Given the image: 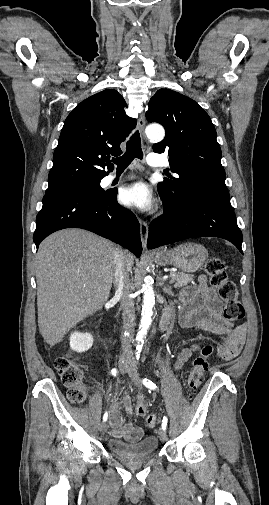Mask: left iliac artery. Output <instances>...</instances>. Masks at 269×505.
<instances>
[{
	"instance_id": "obj_1",
	"label": "left iliac artery",
	"mask_w": 269,
	"mask_h": 505,
	"mask_svg": "<svg viewBox=\"0 0 269 505\" xmlns=\"http://www.w3.org/2000/svg\"><path fill=\"white\" fill-rule=\"evenodd\" d=\"M137 359H139V355H137ZM142 383L149 389H152V390H155L157 388V386L150 380L146 379V378H143L142 379ZM167 422H168V418L166 416L163 417V420H162V429L165 431L166 430V427H167Z\"/></svg>"
}]
</instances>
